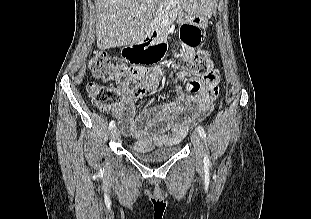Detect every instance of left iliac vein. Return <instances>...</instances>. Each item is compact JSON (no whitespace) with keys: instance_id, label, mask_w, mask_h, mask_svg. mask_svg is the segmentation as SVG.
Returning a JSON list of instances; mask_svg holds the SVG:
<instances>
[{"instance_id":"left-iliac-vein-1","label":"left iliac vein","mask_w":311,"mask_h":219,"mask_svg":"<svg viewBox=\"0 0 311 219\" xmlns=\"http://www.w3.org/2000/svg\"><path fill=\"white\" fill-rule=\"evenodd\" d=\"M191 141L196 151L197 161L202 162L203 151H202V141L200 134L197 131H193L191 134Z\"/></svg>"}]
</instances>
